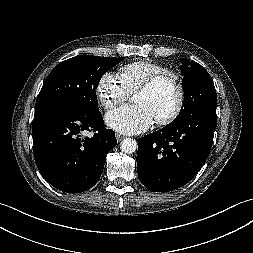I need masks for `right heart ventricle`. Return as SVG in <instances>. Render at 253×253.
Returning <instances> with one entry per match:
<instances>
[{
  "mask_svg": "<svg viewBox=\"0 0 253 253\" xmlns=\"http://www.w3.org/2000/svg\"><path fill=\"white\" fill-rule=\"evenodd\" d=\"M167 71V68L150 60H139L125 64L119 69V77L128 90L136 92L152 76Z\"/></svg>",
  "mask_w": 253,
  "mask_h": 253,
  "instance_id": "right-heart-ventricle-1",
  "label": "right heart ventricle"
}]
</instances>
